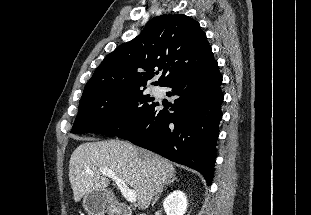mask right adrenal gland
Masks as SVG:
<instances>
[{
    "label": "right adrenal gland",
    "mask_w": 311,
    "mask_h": 215,
    "mask_svg": "<svg viewBox=\"0 0 311 215\" xmlns=\"http://www.w3.org/2000/svg\"><path fill=\"white\" fill-rule=\"evenodd\" d=\"M175 180H176V177H173L171 180H169V181L165 184V186H163V188L159 191L158 196H156V197H155V199H154V201H153V204H152V205H154V204H155V202H156V201H157V199L159 198V195H161V193L163 192L164 187H166V186L170 185V184H171V183H173Z\"/></svg>",
    "instance_id": "1"
}]
</instances>
